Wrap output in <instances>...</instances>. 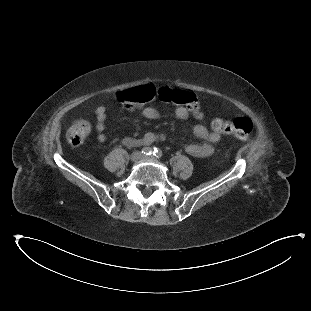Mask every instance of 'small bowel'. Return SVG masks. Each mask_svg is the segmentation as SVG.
Returning <instances> with one entry per match:
<instances>
[{
  "label": "small bowel",
  "instance_id": "c3829d8e",
  "mask_svg": "<svg viewBox=\"0 0 311 311\" xmlns=\"http://www.w3.org/2000/svg\"><path fill=\"white\" fill-rule=\"evenodd\" d=\"M170 88V87H164ZM142 115L146 119L155 120L159 117V111L151 106L144 107L142 109ZM175 115L179 119H186L189 115L188 110L180 106L175 110ZM106 112L103 108H99L96 111V129L98 131V140L105 142L106 136L103 133L106 122ZM194 135L201 141L200 143H187L184 145L185 151L194 157H207L214 151L215 145L220 141V133L209 132V130L202 124H196L193 128ZM163 135L156 133H147L140 139L147 141V145L152 144L160 139H163ZM133 139V138H132ZM125 143L134 145L131 139H126Z\"/></svg>",
  "mask_w": 311,
  "mask_h": 311
}]
</instances>
